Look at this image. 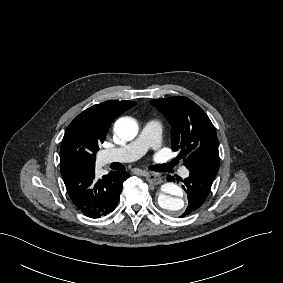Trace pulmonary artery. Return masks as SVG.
<instances>
[{
    "label": "pulmonary artery",
    "instance_id": "1",
    "mask_svg": "<svg viewBox=\"0 0 283 283\" xmlns=\"http://www.w3.org/2000/svg\"><path fill=\"white\" fill-rule=\"evenodd\" d=\"M136 143L121 146L117 151H106L103 154V159L106 162H126L147 155L151 149L157 154H162L165 151V146L161 143V123L158 121L147 122L137 139ZM177 174L180 177L188 176L189 172L185 166H180L177 169Z\"/></svg>",
    "mask_w": 283,
    "mask_h": 283
}]
</instances>
